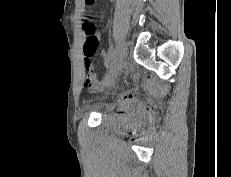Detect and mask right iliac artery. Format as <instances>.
<instances>
[{
	"label": "right iliac artery",
	"mask_w": 231,
	"mask_h": 177,
	"mask_svg": "<svg viewBox=\"0 0 231 177\" xmlns=\"http://www.w3.org/2000/svg\"><path fill=\"white\" fill-rule=\"evenodd\" d=\"M114 57H115V49L112 45H110L107 66L112 65V61H113Z\"/></svg>",
	"instance_id": "82829eb1"
}]
</instances>
